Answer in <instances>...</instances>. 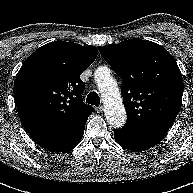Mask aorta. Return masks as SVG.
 <instances>
[{"label":"aorta","mask_w":193,"mask_h":193,"mask_svg":"<svg viewBox=\"0 0 193 193\" xmlns=\"http://www.w3.org/2000/svg\"><path fill=\"white\" fill-rule=\"evenodd\" d=\"M105 106L107 123L114 128L125 124L126 111L116 81L108 67H98L94 73Z\"/></svg>","instance_id":"762f6f07"}]
</instances>
